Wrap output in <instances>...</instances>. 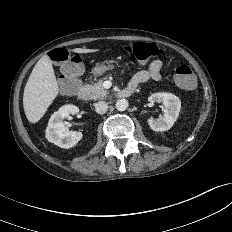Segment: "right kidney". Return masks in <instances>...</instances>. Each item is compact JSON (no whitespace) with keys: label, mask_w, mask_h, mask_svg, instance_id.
I'll return each mask as SVG.
<instances>
[{"label":"right kidney","mask_w":232,"mask_h":232,"mask_svg":"<svg viewBox=\"0 0 232 232\" xmlns=\"http://www.w3.org/2000/svg\"><path fill=\"white\" fill-rule=\"evenodd\" d=\"M79 108L75 105H64L58 111L54 112L49 119L46 128V139L61 148H71L75 146L82 138L81 132L70 131L65 126L63 119L71 115H76Z\"/></svg>","instance_id":"obj_1"}]
</instances>
